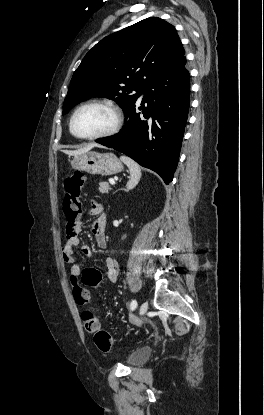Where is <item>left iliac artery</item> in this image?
I'll return each mask as SVG.
<instances>
[{
    "label": "left iliac artery",
    "instance_id": "1",
    "mask_svg": "<svg viewBox=\"0 0 264 415\" xmlns=\"http://www.w3.org/2000/svg\"><path fill=\"white\" fill-rule=\"evenodd\" d=\"M136 306H137V301L136 300H132L131 303H130V309L131 310H134L136 308Z\"/></svg>",
    "mask_w": 264,
    "mask_h": 415
}]
</instances>
